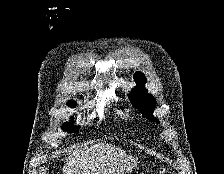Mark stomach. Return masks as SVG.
I'll return each mask as SVG.
<instances>
[{"label": "stomach", "instance_id": "1", "mask_svg": "<svg viewBox=\"0 0 224 174\" xmlns=\"http://www.w3.org/2000/svg\"><path fill=\"white\" fill-rule=\"evenodd\" d=\"M137 165V160L133 157H125L122 160L115 162L102 171H97L95 174H127L131 172Z\"/></svg>", "mask_w": 224, "mask_h": 174}]
</instances>
